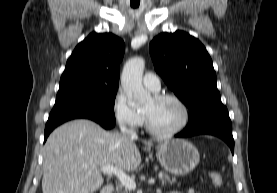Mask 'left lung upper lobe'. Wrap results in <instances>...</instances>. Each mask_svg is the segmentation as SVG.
Listing matches in <instances>:
<instances>
[{"instance_id": "5c2ea615", "label": "left lung upper lobe", "mask_w": 277, "mask_h": 193, "mask_svg": "<svg viewBox=\"0 0 277 193\" xmlns=\"http://www.w3.org/2000/svg\"><path fill=\"white\" fill-rule=\"evenodd\" d=\"M155 70L189 108V121L223 107L212 60L202 43L183 31L162 33L150 43Z\"/></svg>"}]
</instances>
